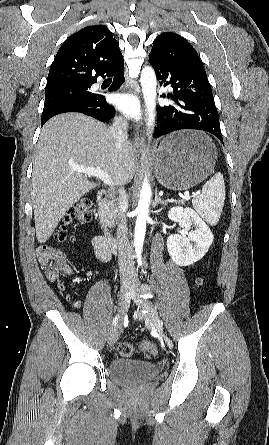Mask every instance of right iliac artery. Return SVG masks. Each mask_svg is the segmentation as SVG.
<instances>
[{
	"label": "right iliac artery",
	"instance_id": "obj_1",
	"mask_svg": "<svg viewBox=\"0 0 269 445\" xmlns=\"http://www.w3.org/2000/svg\"><path fill=\"white\" fill-rule=\"evenodd\" d=\"M116 320H117V317H115V319H114V323H116Z\"/></svg>",
	"mask_w": 269,
	"mask_h": 445
}]
</instances>
